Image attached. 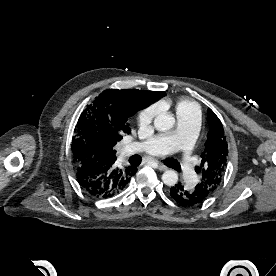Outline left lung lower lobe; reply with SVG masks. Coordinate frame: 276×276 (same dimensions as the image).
I'll return each mask as SVG.
<instances>
[{
	"mask_svg": "<svg viewBox=\"0 0 276 276\" xmlns=\"http://www.w3.org/2000/svg\"><path fill=\"white\" fill-rule=\"evenodd\" d=\"M170 197L182 207L201 206L208 198V191L205 188H188L180 183L170 188Z\"/></svg>",
	"mask_w": 276,
	"mask_h": 276,
	"instance_id": "left-lung-lower-lobe-1",
	"label": "left lung lower lobe"
}]
</instances>
